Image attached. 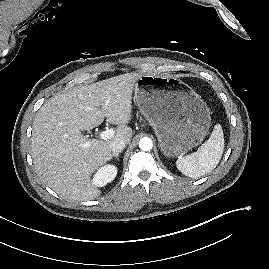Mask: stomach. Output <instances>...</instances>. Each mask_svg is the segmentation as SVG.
Wrapping results in <instances>:
<instances>
[{"instance_id":"obj_1","label":"stomach","mask_w":269,"mask_h":269,"mask_svg":"<svg viewBox=\"0 0 269 269\" xmlns=\"http://www.w3.org/2000/svg\"><path fill=\"white\" fill-rule=\"evenodd\" d=\"M134 94L166 157L186 153L206 136L211 125L209 108L179 79L145 74L136 81Z\"/></svg>"}]
</instances>
